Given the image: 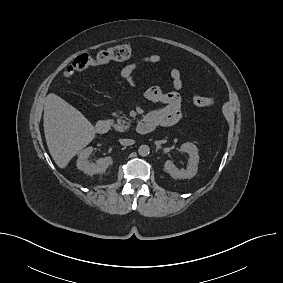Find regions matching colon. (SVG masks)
<instances>
[{
    "label": "colon",
    "mask_w": 283,
    "mask_h": 283,
    "mask_svg": "<svg viewBox=\"0 0 283 283\" xmlns=\"http://www.w3.org/2000/svg\"><path fill=\"white\" fill-rule=\"evenodd\" d=\"M132 54V46L126 42L101 50L96 55L81 54L77 56L66 68L65 76L72 77L75 73L84 71L91 67L102 66L113 61H123ZM193 103L198 107H210L215 104V100L210 97L195 95L192 97Z\"/></svg>",
    "instance_id": "5ec220e1"
}]
</instances>
